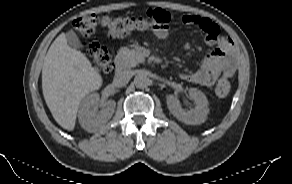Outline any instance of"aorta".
Masks as SVG:
<instances>
[{
    "label": "aorta",
    "instance_id": "1",
    "mask_svg": "<svg viewBox=\"0 0 292 184\" xmlns=\"http://www.w3.org/2000/svg\"><path fill=\"white\" fill-rule=\"evenodd\" d=\"M134 85L137 88H140V89H143V88L147 87L149 85V78H148V76L145 73H143V72L138 73L134 77Z\"/></svg>",
    "mask_w": 292,
    "mask_h": 184
}]
</instances>
